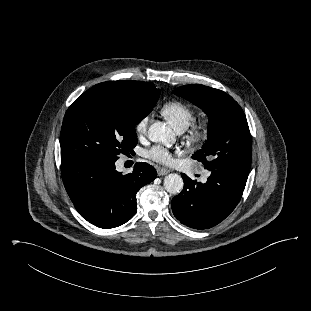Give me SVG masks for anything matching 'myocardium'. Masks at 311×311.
Masks as SVG:
<instances>
[{"label":"myocardium","instance_id":"f54148a6","mask_svg":"<svg viewBox=\"0 0 311 311\" xmlns=\"http://www.w3.org/2000/svg\"><path fill=\"white\" fill-rule=\"evenodd\" d=\"M210 130V121L208 118H203L198 121H193L186 128V138L192 143H201L204 141Z\"/></svg>","mask_w":311,"mask_h":311}]
</instances>
